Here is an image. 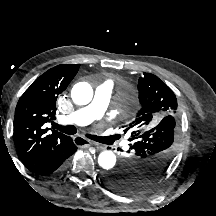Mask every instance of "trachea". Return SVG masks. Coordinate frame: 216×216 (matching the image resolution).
I'll return each mask as SVG.
<instances>
[{"label":"trachea","mask_w":216,"mask_h":216,"mask_svg":"<svg viewBox=\"0 0 216 216\" xmlns=\"http://www.w3.org/2000/svg\"><path fill=\"white\" fill-rule=\"evenodd\" d=\"M53 128L65 133V134H68V135H74L76 134L77 132V129L75 126H72V125H69V126H61L57 123H53ZM87 137L92 139V140H95V141H98V142H104L106 140V138H103V137H97L95 135H89L87 134ZM79 145H82V144H79Z\"/></svg>","instance_id":"3493384b"}]
</instances>
